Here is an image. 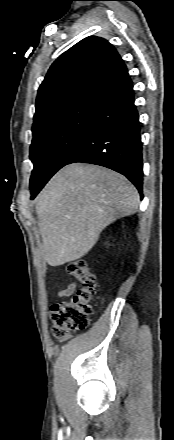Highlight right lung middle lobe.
I'll return each instance as SVG.
<instances>
[{"mask_svg": "<svg viewBox=\"0 0 174 440\" xmlns=\"http://www.w3.org/2000/svg\"><path fill=\"white\" fill-rule=\"evenodd\" d=\"M96 94L82 96L33 123L30 189L47 181L74 156L91 123Z\"/></svg>", "mask_w": 174, "mask_h": 440, "instance_id": "right-lung-middle-lobe-1", "label": "right lung middle lobe"}]
</instances>
